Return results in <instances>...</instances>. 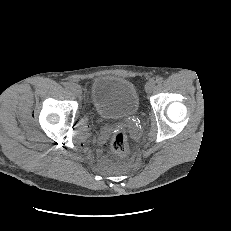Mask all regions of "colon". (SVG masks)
Segmentation results:
<instances>
[{"mask_svg":"<svg viewBox=\"0 0 231 231\" xmlns=\"http://www.w3.org/2000/svg\"><path fill=\"white\" fill-rule=\"evenodd\" d=\"M110 148L112 152L117 155H125L129 151L128 137L124 130L114 132L111 138Z\"/></svg>","mask_w":231,"mask_h":231,"instance_id":"obj_1","label":"colon"}]
</instances>
